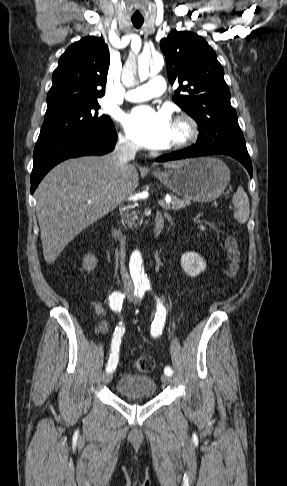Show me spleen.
<instances>
[{
	"mask_svg": "<svg viewBox=\"0 0 287 486\" xmlns=\"http://www.w3.org/2000/svg\"><path fill=\"white\" fill-rule=\"evenodd\" d=\"M232 203L236 209L234 218L240 223H246L250 214L249 199L242 186L233 195Z\"/></svg>",
	"mask_w": 287,
	"mask_h": 486,
	"instance_id": "1",
	"label": "spleen"
}]
</instances>
